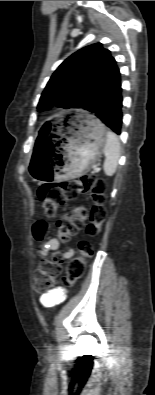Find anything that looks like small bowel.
I'll list each match as a JSON object with an SVG mask.
<instances>
[{
	"instance_id": "1",
	"label": "small bowel",
	"mask_w": 155,
	"mask_h": 395,
	"mask_svg": "<svg viewBox=\"0 0 155 395\" xmlns=\"http://www.w3.org/2000/svg\"><path fill=\"white\" fill-rule=\"evenodd\" d=\"M60 240L57 238H52L47 241L40 250L41 255H46L49 251L57 250L60 247ZM73 256V250L71 248H66L62 255V259H69ZM66 297V290L62 287L54 288L40 297V303L47 308H51L64 301Z\"/></svg>"
}]
</instances>
